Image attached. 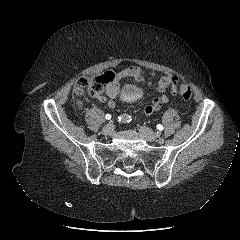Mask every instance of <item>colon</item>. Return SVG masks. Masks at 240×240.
<instances>
[{"instance_id":"5ec220e1","label":"colon","mask_w":240,"mask_h":240,"mask_svg":"<svg viewBox=\"0 0 240 240\" xmlns=\"http://www.w3.org/2000/svg\"><path fill=\"white\" fill-rule=\"evenodd\" d=\"M113 78L114 76L112 72H106L91 78L81 79L75 88V94L77 96H82L85 92H87L93 97L101 95L106 87L113 81ZM174 87L178 89L184 100L189 101L191 99L192 90L189 86L185 84L176 86L175 83Z\"/></svg>"}]
</instances>
